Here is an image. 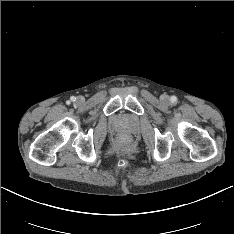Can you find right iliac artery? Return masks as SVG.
<instances>
[{
  "mask_svg": "<svg viewBox=\"0 0 234 234\" xmlns=\"http://www.w3.org/2000/svg\"><path fill=\"white\" fill-rule=\"evenodd\" d=\"M75 100V98L74 97H71V101H74Z\"/></svg>",
  "mask_w": 234,
  "mask_h": 234,
  "instance_id": "82829eb1",
  "label": "right iliac artery"
}]
</instances>
